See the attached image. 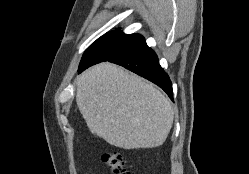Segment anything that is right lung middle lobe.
<instances>
[{"mask_svg":"<svg viewBox=\"0 0 249 174\" xmlns=\"http://www.w3.org/2000/svg\"><path fill=\"white\" fill-rule=\"evenodd\" d=\"M145 44L140 34L111 31L97 39L84 53L79 69L100 61H107Z\"/></svg>","mask_w":249,"mask_h":174,"instance_id":"obj_1","label":"right lung middle lobe"}]
</instances>
